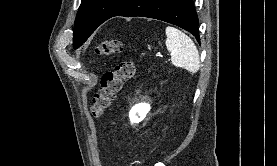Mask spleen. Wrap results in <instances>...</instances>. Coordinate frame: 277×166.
I'll list each match as a JSON object with an SVG mask.
<instances>
[{
    "instance_id": "3e777b00",
    "label": "spleen",
    "mask_w": 277,
    "mask_h": 166,
    "mask_svg": "<svg viewBox=\"0 0 277 166\" xmlns=\"http://www.w3.org/2000/svg\"><path fill=\"white\" fill-rule=\"evenodd\" d=\"M166 47L174 66L196 73L200 67L197 47L190 37L175 27H166Z\"/></svg>"
}]
</instances>
